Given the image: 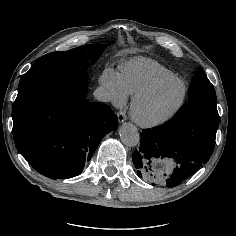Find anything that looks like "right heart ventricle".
I'll return each instance as SVG.
<instances>
[{
    "label": "right heart ventricle",
    "mask_w": 236,
    "mask_h": 236,
    "mask_svg": "<svg viewBox=\"0 0 236 236\" xmlns=\"http://www.w3.org/2000/svg\"><path fill=\"white\" fill-rule=\"evenodd\" d=\"M119 71L129 95H135L156 80L175 77L169 68L156 60L142 56L123 60L119 65Z\"/></svg>",
    "instance_id": "obj_1"
}]
</instances>
